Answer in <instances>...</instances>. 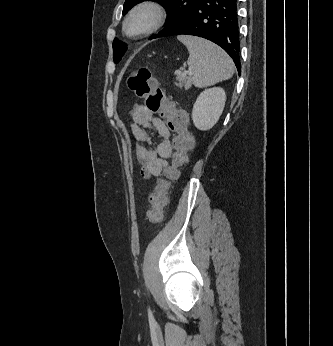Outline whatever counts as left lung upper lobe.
<instances>
[{"mask_svg":"<svg viewBox=\"0 0 333 346\" xmlns=\"http://www.w3.org/2000/svg\"><path fill=\"white\" fill-rule=\"evenodd\" d=\"M145 0H126L124 3L123 14H126L134 5L140 3ZM163 4L168 13L167 16V24L165 28L159 32L157 35L150 37V39L159 37L163 32H165L170 27L177 24L181 19H183L189 8L197 1V0H155ZM127 50L126 44L119 41L118 39H114L113 41V59L115 63H118L121 57L124 55Z\"/></svg>","mask_w":333,"mask_h":346,"instance_id":"left-lung-upper-lobe-1","label":"left lung upper lobe"}]
</instances>
